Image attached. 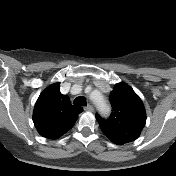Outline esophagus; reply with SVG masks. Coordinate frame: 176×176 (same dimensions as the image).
<instances>
[{
	"instance_id": "34e87169",
	"label": "esophagus",
	"mask_w": 176,
	"mask_h": 176,
	"mask_svg": "<svg viewBox=\"0 0 176 176\" xmlns=\"http://www.w3.org/2000/svg\"><path fill=\"white\" fill-rule=\"evenodd\" d=\"M85 110H87V111H94V107L89 104V105H87V106L85 107Z\"/></svg>"
}]
</instances>
